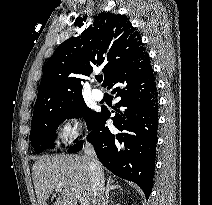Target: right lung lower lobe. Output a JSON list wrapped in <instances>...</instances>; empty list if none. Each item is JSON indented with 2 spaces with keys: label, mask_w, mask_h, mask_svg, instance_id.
I'll return each instance as SVG.
<instances>
[{
  "label": "right lung lower lobe",
  "mask_w": 212,
  "mask_h": 205,
  "mask_svg": "<svg viewBox=\"0 0 212 205\" xmlns=\"http://www.w3.org/2000/svg\"><path fill=\"white\" fill-rule=\"evenodd\" d=\"M107 88H113L115 97L121 98L116 107L125 108L115 109L117 113L112 118L119 132L113 134L105 126L110 112L102 110L87 139L106 168L138 184L148 199L153 185L158 128V93L148 53L120 68ZM82 147L81 140L68 152H78Z\"/></svg>",
  "instance_id": "98d812e1"
}]
</instances>
